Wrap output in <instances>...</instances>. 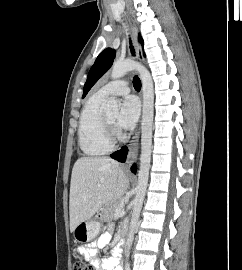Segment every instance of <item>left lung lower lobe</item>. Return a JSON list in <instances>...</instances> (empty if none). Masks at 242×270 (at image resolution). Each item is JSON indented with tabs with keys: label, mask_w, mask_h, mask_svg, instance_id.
I'll list each match as a JSON object with an SVG mask.
<instances>
[{
	"label": "left lung lower lobe",
	"mask_w": 242,
	"mask_h": 270,
	"mask_svg": "<svg viewBox=\"0 0 242 270\" xmlns=\"http://www.w3.org/2000/svg\"><path fill=\"white\" fill-rule=\"evenodd\" d=\"M127 153H128V148L124 147L123 149L118 150L115 153L111 154V157L116 159L117 161L125 162Z\"/></svg>",
	"instance_id": "0a47b994"
}]
</instances>
